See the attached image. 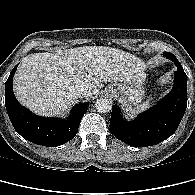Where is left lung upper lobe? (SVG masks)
Here are the masks:
<instances>
[{
	"label": "left lung upper lobe",
	"instance_id": "5c2ea615",
	"mask_svg": "<svg viewBox=\"0 0 195 195\" xmlns=\"http://www.w3.org/2000/svg\"><path fill=\"white\" fill-rule=\"evenodd\" d=\"M164 55L166 58L172 60V61H178L177 58L172 54V53H168V52H164Z\"/></svg>",
	"mask_w": 195,
	"mask_h": 195
}]
</instances>
